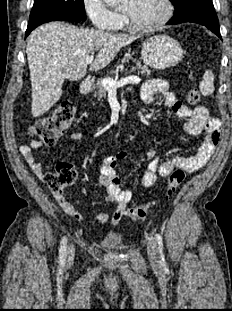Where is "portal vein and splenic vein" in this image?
Returning <instances> with one entry per match:
<instances>
[{
    "label": "portal vein and splenic vein",
    "mask_w": 232,
    "mask_h": 311,
    "mask_svg": "<svg viewBox=\"0 0 232 311\" xmlns=\"http://www.w3.org/2000/svg\"><path fill=\"white\" fill-rule=\"evenodd\" d=\"M93 60H94V56H93V54H91L86 58L85 62L87 64H90L93 62ZM140 81H141V79L137 76H129L126 78H122L119 81H116V80L111 79V78H104L102 80V85L106 90L112 91V90H115L118 87H122L126 84H139Z\"/></svg>",
    "instance_id": "obj_1"
}]
</instances>
